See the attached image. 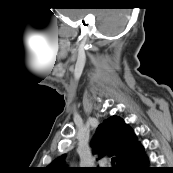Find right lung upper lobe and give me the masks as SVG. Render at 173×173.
<instances>
[{"label":"right lung upper lobe","mask_w":173,"mask_h":173,"mask_svg":"<svg viewBox=\"0 0 173 173\" xmlns=\"http://www.w3.org/2000/svg\"><path fill=\"white\" fill-rule=\"evenodd\" d=\"M94 153L99 154L101 158L105 154L115 155L117 166L135 152L141 145L137 142L136 136L129 125L117 116H111L99 125L96 135L92 141ZM65 154L54 160L48 167V173H70L72 171L65 167ZM118 168V167H116ZM98 173L106 170L98 168Z\"/></svg>","instance_id":"right-lung-upper-lobe-1"}]
</instances>
